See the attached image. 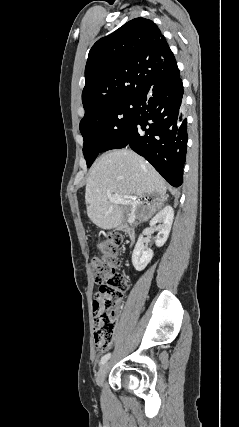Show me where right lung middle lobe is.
<instances>
[{
  "label": "right lung middle lobe",
  "instance_id": "dd1d6c3e",
  "mask_svg": "<svg viewBox=\"0 0 239 427\" xmlns=\"http://www.w3.org/2000/svg\"><path fill=\"white\" fill-rule=\"evenodd\" d=\"M136 99H115L90 108L80 122L83 154L90 167L98 153L122 146L129 138Z\"/></svg>",
  "mask_w": 239,
  "mask_h": 427
}]
</instances>
